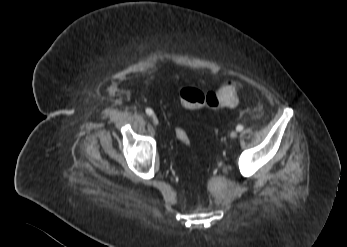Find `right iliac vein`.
Instances as JSON below:
<instances>
[{"label":"right iliac vein","mask_w":347,"mask_h":247,"mask_svg":"<svg viewBox=\"0 0 347 247\" xmlns=\"http://www.w3.org/2000/svg\"><path fill=\"white\" fill-rule=\"evenodd\" d=\"M152 122L154 125H158L159 124V120L155 115H152Z\"/></svg>","instance_id":"1"}]
</instances>
